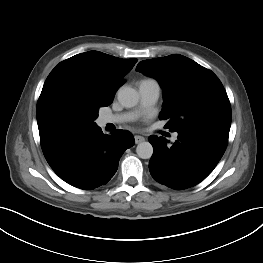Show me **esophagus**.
Returning <instances> with one entry per match:
<instances>
[{
  "label": "esophagus",
  "mask_w": 263,
  "mask_h": 263,
  "mask_svg": "<svg viewBox=\"0 0 263 263\" xmlns=\"http://www.w3.org/2000/svg\"><path fill=\"white\" fill-rule=\"evenodd\" d=\"M134 138H135L136 144H139V143L145 141V138L143 136H140V135H136Z\"/></svg>",
  "instance_id": "esophagus-1"
}]
</instances>
